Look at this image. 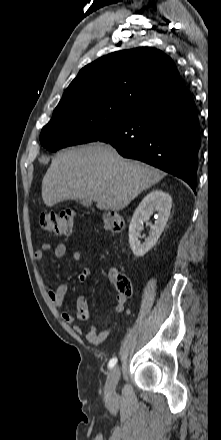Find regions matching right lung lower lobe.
Listing matches in <instances>:
<instances>
[{"label":"right lung lower lobe","mask_w":221,"mask_h":440,"mask_svg":"<svg viewBox=\"0 0 221 440\" xmlns=\"http://www.w3.org/2000/svg\"><path fill=\"white\" fill-rule=\"evenodd\" d=\"M99 141L111 144L125 158L181 178L195 192L199 122L186 87L142 104Z\"/></svg>","instance_id":"obj_1"}]
</instances>
